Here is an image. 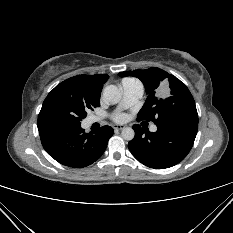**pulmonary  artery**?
<instances>
[{
	"mask_svg": "<svg viewBox=\"0 0 233 233\" xmlns=\"http://www.w3.org/2000/svg\"><path fill=\"white\" fill-rule=\"evenodd\" d=\"M121 89L123 93V98L121 102L122 107H129L138 102V100L142 97L144 92V87L141 82L137 80H129L123 81L121 83ZM98 121L97 117H92L91 122ZM152 132H156L157 126L152 125L150 127Z\"/></svg>",
	"mask_w": 233,
	"mask_h": 233,
	"instance_id": "pulmonary-artery-1",
	"label": "pulmonary artery"
}]
</instances>
